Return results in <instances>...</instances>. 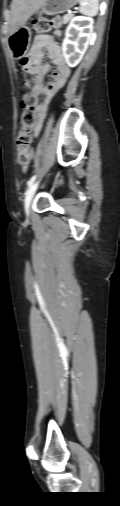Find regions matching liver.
<instances>
[{"instance_id":"6515ba94","label":"liver","mask_w":120,"mask_h":506,"mask_svg":"<svg viewBox=\"0 0 120 506\" xmlns=\"http://www.w3.org/2000/svg\"><path fill=\"white\" fill-rule=\"evenodd\" d=\"M44 2L45 0H12L11 15L8 18L9 35L24 26L31 15L43 6Z\"/></svg>"}]
</instances>
